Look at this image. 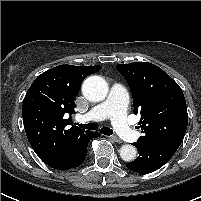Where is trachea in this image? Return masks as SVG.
Returning <instances> with one entry per match:
<instances>
[{"label": "trachea", "mask_w": 201, "mask_h": 201, "mask_svg": "<svg viewBox=\"0 0 201 201\" xmlns=\"http://www.w3.org/2000/svg\"><path fill=\"white\" fill-rule=\"evenodd\" d=\"M79 127L83 128V129H88V130H96L97 126L94 123H88V124H79L76 123ZM100 132L104 135H112L113 134V130L108 128V127H103L101 128Z\"/></svg>", "instance_id": "obj_1"}]
</instances>
